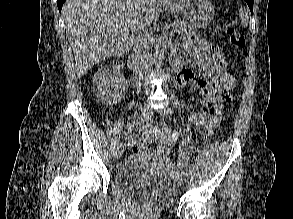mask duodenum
I'll return each mask as SVG.
<instances>
[{
  "label": "duodenum",
  "mask_w": 293,
  "mask_h": 219,
  "mask_svg": "<svg viewBox=\"0 0 293 219\" xmlns=\"http://www.w3.org/2000/svg\"><path fill=\"white\" fill-rule=\"evenodd\" d=\"M128 65L134 71V74L132 76V83L134 85H139L141 63H140V56H139V51H138L137 47H135L133 52L131 53V55L129 57ZM173 70L179 76L181 71H180L179 65L177 63H173ZM178 76H177V78H178Z\"/></svg>",
  "instance_id": "duodenum-1"
}]
</instances>
